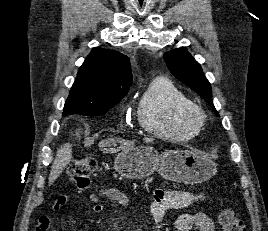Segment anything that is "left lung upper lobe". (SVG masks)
<instances>
[{
	"mask_svg": "<svg viewBox=\"0 0 268 231\" xmlns=\"http://www.w3.org/2000/svg\"><path fill=\"white\" fill-rule=\"evenodd\" d=\"M163 57L170 72L196 93L208 98L211 107L219 115L212 102L210 83L203 74L200 64L188 53L186 48L181 47L166 52Z\"/></svg>",
	"mask_w": 268,
	"mask_h": 231,
	"instance_id": "1",
	"label": "left lung upper lobe"
}]
</instances>
